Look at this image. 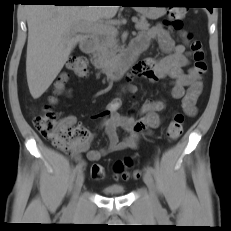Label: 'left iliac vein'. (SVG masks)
Returning <instances> with one entry per match:
<instances>
[{"instance_id":"left-iliac-vein-1","label":"left iliac vein","mask_w":231,"mask_h":231,"mask_svg":"<svg viewBox=\"0 0 231 231\" xmlns=\"http://www.w3.org/2000/svg\"><path fill=\"white\" fill-rule=\"evenodd\" d=\"M143 180H144V183L146 184V186L149 188L150 199H151L152 204L154 206L158 207L159 202H158L157 197L155 195L154 180H153L152 175L148 171H145L144 175H143Z\"/></svg>"}]
</instances>
